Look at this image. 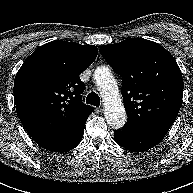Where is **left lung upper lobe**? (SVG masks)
Masks as SVG:
<instances>
[{"mask_svg": "<svg viewBox=\"0 0 193 193\" xmlns=\"http://www.w3.org/2000/svg\"><path fill=\"white\" fill-rule=\"evenodd\" d=\"M100 53L122 77L128 120L125 128H170L181 108L183 79L175 58L160 44L127 39L100 48Z\"/></svg>", "mask_w": 193, "mask_h": 193, "instance_id": "1", "label": "left lung upper lobe"}]
</instances>
